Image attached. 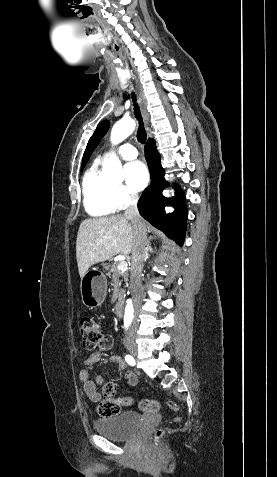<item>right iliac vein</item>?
I'll return each mask as SVG.
<instances>
[{
	"label": "right iliac vein",
	"instance_id": "obj_1",
	"mask_svg": "<svg viewBox=\"0 0 277 477\" xmlns=\"http://www.w3.org/2000/svg\"><path fill=\"white\" fill-rule=\"evenodd\" d=\"M125 345H126L127 350L129 351V353L132 356L137 355V346L133 341H127Z\"/></svg>",
	"mask_w": 277,
	"mask_h": 477
}]
</instances>
